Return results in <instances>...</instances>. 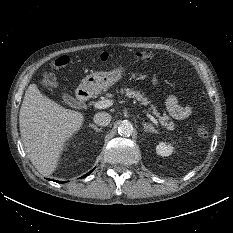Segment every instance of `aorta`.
Returning <instances> with one entry per match:
<instances>
[{
  "instance_id": "1",
  "label": "aorta",
  "mask_w": 233,
  "mask_h": 233,
  "mask_svg": "<svg viewBox=\"0 0 233 233\" xmlns=\"http://www.w3.org/2000/svg\"><path fill=\"white\" fill-rule=\"evenodd\" d=\"M134 131L133 125L129 121H122L118 126V133L121 136H130Z\"/></svg>"
}]
</instances>
